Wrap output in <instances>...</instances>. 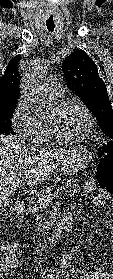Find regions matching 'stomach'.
<instances>
[{"label":"stomach","mask_w":113,"mask_h":279,"mask_svg":"<svg viewBox=\"0 0 113 279\" xmlns=\"http://www.w3.org/2000/svg\"><path fill=\"white\" fill-rule=\"evenodd\" d=\"M93 158V152L86 147L75 148L68 159L62 163L63 172L70 176L75 175L88 166Z\"/></svg>","instance_id":"obj_1"}]
</instances>
